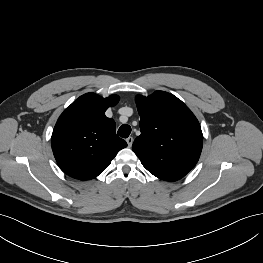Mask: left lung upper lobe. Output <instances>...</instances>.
<instances>
[{"label": "left lung upper lobe", "mask_w": 263, "mask_h": 263, "mask_svg": "<svg viewBox=\"0 0 263 263\" xmlns=\"http://www.w3.org/2000/svg\"><path fill=\"white\" fill-rule=\"evenodd\" d=\"M141 135L132 150L154 176L167 170L186 175L198 162L203 135L190 109L176 96L156 91L148 97L138 95Z\"/></svg>", "instance_id": "5c2ea615"}]
</instances>
